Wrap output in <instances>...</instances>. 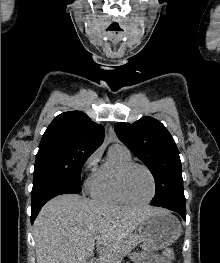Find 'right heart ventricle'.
<instances>
[{
  "label": "right heart ventricle",
  "instance_id": "1",
  "mask_svg": "<svg viewBox=\"0 0 220 263\" xmlns=\"http://www.w3.org/2000/svg\"><path fill=\"white\" fill-rule=\"evenodd\" d=\"M128 162H131L130 153L115 146L110 148L107 160L97 169L90 186L94 199L110 204L125 203L118 194L116 177L119 168Z\"/></svg>",
  "mask_w": 220,
  "mask_h": 263
}]
</instances>
